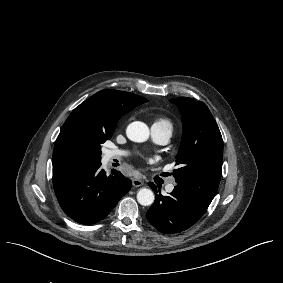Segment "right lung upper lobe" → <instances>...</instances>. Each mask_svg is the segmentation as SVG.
<instances>
[{
	"instance_id": "right-lung-upper-lobe-1",
	"label": "right lung upper lobe",
	"mask_w": 283,
	"mask_h": 283,
	"mask_svg": "<svg viewBox=\"0 0 283 283\" xmlns=\"http://www.w3.org/2000/svg\"><path fill=\"white\" fill-rule=\"evenodd\" d=\"M147 101L132 93L106 89L76 107L55 142L53 184L65 182L99 164L94 147L96 136L113 134L122 115Z\"/></svg>"
}]
</instances>
